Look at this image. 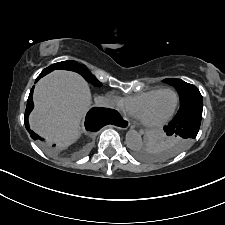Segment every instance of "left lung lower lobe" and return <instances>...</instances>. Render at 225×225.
Segmentation results:
<instances>
[{
  "instance_id": "1",
  "label": "left lung lower lobe",
  "mask_w": 225,
  "mask_h": 225,
  "mask_svg": "<svg viewBox=\"0 0 225 225\" xmlns=\"http://www.w3.org/2000/svg\"><path fill=\"white\" fill-rule=\"evenodd\" d=\"M202 119V109L195 108L177 114L168 126L164 127V131L168 136H179L184 139L193 140L199 131ZM185 144H178L176 148L181 151Z\"/></svg>"
}]
</instances>
